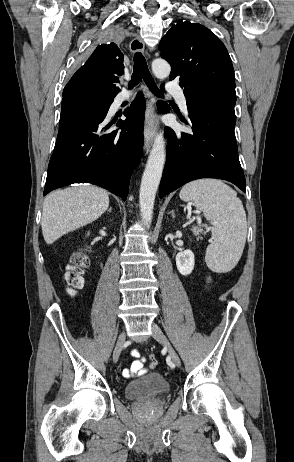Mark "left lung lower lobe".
Masks as SVG:
<instances>
[{
    "mask_svg": "<svg viewBox=\"0 0 294 462\" xmlns=\"http://www.w3.org/2000/svg\"><path fill=\"white\" fill-rule=\"evenodd\" d=\"M186 101L193 135L166 128L167 160L159 197L199 178L227 180L245 192L234 133L236 101L213 94ZM158 109L165 114L170 107L160 101Z\"/></svg>",
    "mask_w": 294,
    "mask_h": 462,
    "instance_id": "obj_1",
    "label": "left lung lower lobe"
}]
</instances>
